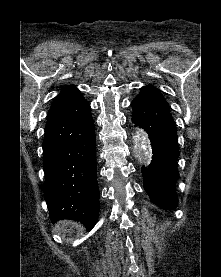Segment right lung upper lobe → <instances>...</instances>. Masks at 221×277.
<instances>
[{
  "label": "right lung upper lobe",
  "mask_w": 221,
  "mask_h": 277,
  "mask_svg": "<svg viewBox=\"0 0 221 277\" xmlns=\"http://www.w3.org/2000/svg\"><path fill=\"white\" fill-rule=\"evenodd\" d=\"M73 90H76V88L73 87V86L65 87V88L59 93L58 96L63 95V94H66V93H68V92H70V91H73Z\"/></svg>",
  "instance_id": "1"
}]
</instances>
